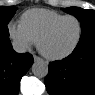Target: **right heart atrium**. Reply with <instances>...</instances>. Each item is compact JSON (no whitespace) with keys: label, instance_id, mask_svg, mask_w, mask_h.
<instances>
[{"label":"right heart atrium","instance_id":"right-heart-atrium-1","mask_svg":"<svg viewBox=\"0 0 95 95\" xmlns=\"http://www.w3.org/2000/svg\"><path fill=\"white\" fill-rule=\"evenodd\" d=\"M8 32L16 47L20 50H26L35 43L20 23L10 22Z\"/></svg>","mask_w":95,"mask_h":95}]
</instances>
